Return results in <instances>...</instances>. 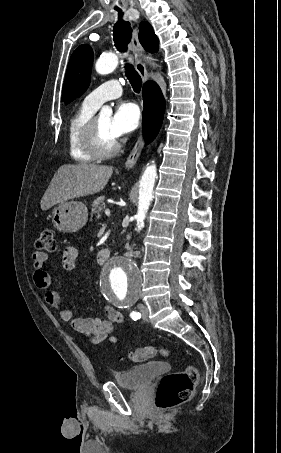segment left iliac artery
<instances>
[{"mask_svg":"<svg viewBox=\"0 0 281 453\" xmlns=\"http://www.w3.org/2000/svg\"><path fill=\"white\" fill-rule=\"evenodd\" d=\"M130 316H131V318H132L134 321H136L137 319H140L141 314H140L139 312H134V311H133V312L130 314Z\"/></svg>","mask_w":281,"mask_h":453,"instance_id":"left-iliac-artery-1","label":"left iliac artery"}]
</instances>
